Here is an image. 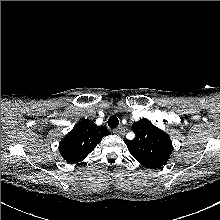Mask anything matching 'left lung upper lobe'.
I'll use <instances>...</instances> for the list:
<instances>
[{
    "label": "left lung upper lobe",
    "instance_id": "5c2ea615",
    "mask_svg": "<svg viewBox=\"0 0 220 220\" xmlns=\"http://www.w3.org/2000/svg\"><path fill=\"white\" fill-rule=\"evenodd\" d=\"M132 128L136 137L125 141L130 154L151 169L165 165L173 149L170 137L147 119L134 122Z\"/></svg>",
    "mask_w": 220,
    "mask_h": 220
}]
</instances>
